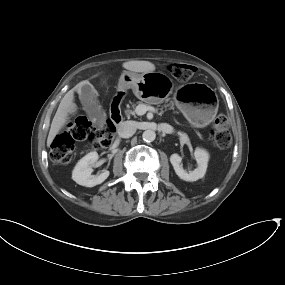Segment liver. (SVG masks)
I'll return each instance as SVG.
<instances>
[{
  "mask_svg": "<svg viewBox=\"0 0 285 285\" xmlns=\"http://www.w3.org/2000/svg\"><path fill=\"white\" fill-rule=\"evenodd\" d=\"M123 68L135 72L146 73L153 72L155 65L149 61H127L122 64ZM89 83L88 81H82L78 83L73 89L68 91L62 98L57 112L52 120L51 128L47 138V146L50 147L56 135L65 125L70 114H73L77 110V106L74 103V92L80 93V89L83 84Z\"/></svg>",
  "mask_w": 285,
  "mask_h": 285,
  "instance_id": "liver-1",
  "label": "liver"
}]
</instances>
